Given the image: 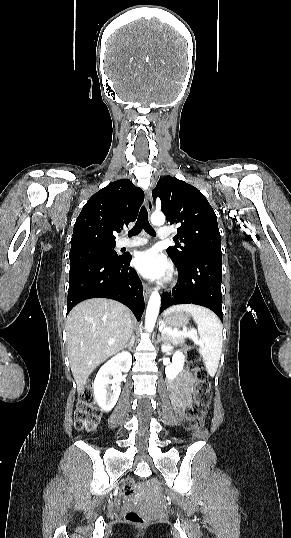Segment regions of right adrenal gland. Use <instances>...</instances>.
<instances>
[{"instance_id": "right-adrenal-gland-1", "label": "right adrenal gland", "mask_w": 291, "mask_h": 538, "mask_svg": "<svg viewBox=\"0 0 291 538\" xmlns=\"http://www.w3.org/2000/svg\"><path fill=\"white\" fill-rule=\"evenodd\" d=\"M134 342H135V336L132 335L130 342L127 345H125V348H128L129 350H131L134 345Z\"/></svg>"}]
</instances>
